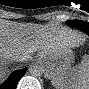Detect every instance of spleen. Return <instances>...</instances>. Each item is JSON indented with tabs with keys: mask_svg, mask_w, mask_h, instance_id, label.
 Segmentation results:
<instances>
[{
	"mask_svg": "<svg viewBox=\"0 0 89 89\" xmlns=\"http://www.w3.org/2000/svg\"><path fill=\"white\" fill-rule=\"evenodd\" d=\"M49 79L58 89H87L89 87V58L84 56L79 64L61 68Z\"/></svg>",
	"mask_w": 89,
	"mask_h": 89,
	"instance_id": "1",
	"label": "spleen"
}]
</instances>
